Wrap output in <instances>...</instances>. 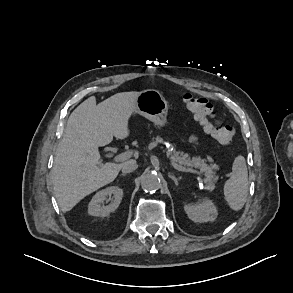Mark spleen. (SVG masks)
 I'll return each mask as SVG.
<instances>
[{
    "mask_svg": "<svg viewBox=\"0 0 293 293\" xmlns=\"http://www.w3.org/2000/svg\"><path fill=\"white\" fill-rule=\"evenodd\" d=\"M248 195V171L245 158L237 156L233 162L230 178L224 185V196L234 211L242 209Z\"/></svg>",
    "mask_w": 293,
    "mask_h": 293,
    "instance_id": "obj_1",
    "label": "spleen"
}]
</instances>
